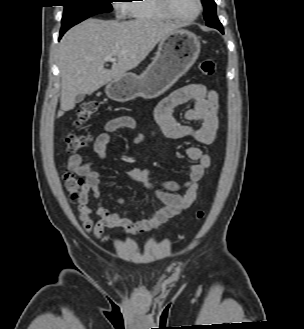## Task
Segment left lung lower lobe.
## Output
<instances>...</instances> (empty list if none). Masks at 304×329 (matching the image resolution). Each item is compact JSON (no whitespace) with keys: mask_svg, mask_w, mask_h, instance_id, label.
I'll return each mask as SVG.
<instances>
[{"mask_svg":"<svg viewBox=\"0 0 304 329\" xmlns=\"http://www.w3.org/2000/svg\"><path fill=\"white\" fill-rule=\"evenodd\" d=\"M206 25L209 26V27H212V28H216L218 29L221 33H224L223 32V26L222 24L220 23V21L218 20V17L215 14L212 15L210 21L206 22Z\"/></svg>","mask_w":304,"mask_h":329,"instance_id":"left-lung-lower-lobe-1","label":"left lung lower lobe"}]
</instances>
